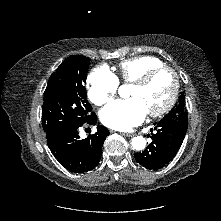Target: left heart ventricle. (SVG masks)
I'll list each match as a JSON object with an SVG mask.
<instances>
[{"label": "left heart ventricle", "mask_w": 221, "mask_h": 221, "mask_svg": "<svg viewBox=\"0 0 221 221\" xmlns=\"http://www.w3.org/2000/svg\"><path fill=\"white\" fill-rule=\"evenodd\" d=\"M173 88V77L169 72H161L147 85L138 87L132 85L130 97L138 98L144 104L147 112L161 108L170 97Z\"/></svg>", "instance_id": "b2bd125f"}]
</instances>
